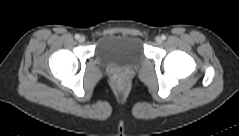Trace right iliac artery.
I'll return each instance as SVG.
<instances>
[{
	"label": "right iliac artery",
	"mask_w": 239,
	"mask_h": 136,
	"mask_svg": "<svg viewBox=\"0 0 239 136\" xmlns=\"http://www.w3.org/2000/svg\"><path fill=\"white\" fill-rule=\"evenodd\" d=\"M80 38V35L79 34H76L75 35V39H79Z\"/></svg>",
	"instance_id": "1"
}]
</instances>
